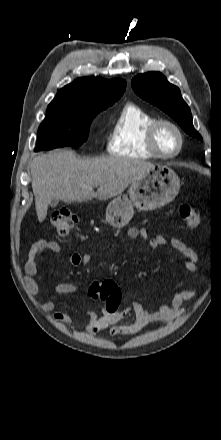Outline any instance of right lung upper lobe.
<instances>
[{"label": "right lung upper lobe", "mask_w": 221, "mask_h": 440, "mask_svg": "<svg viewBox=\"0 0 221 440\" xmlns=\"http://www.w3.org/2000/svg\"><path fill=\"white\" fill-rule=\"evenodd\" d=\"M126 81L83 77L60 89L50 105L68 107L111 106L124 93Z\"/></svg>", "instance_id": "1"}]
</instances>
